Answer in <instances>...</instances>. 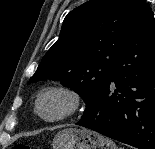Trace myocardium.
<instances>
[{
    "label": "myocardium",
    "instance_id": "obj_1",
    "mask_svg": "<svg viewBox=\"0 0 155 149\" xmlns=\"http://www.w3.org/2000/svg\"><path fill=\"white\" fill-rule=\"evenodd\" d=\"M49 95L62 96L66 101L65 110L55 117H46L41 111V102L45 97ZM81 104V96L75 89L63 85H55L44 88L38 94L34 104V111L35 114L43 121L55 123L74 117L79 112Z\"/></svg>",
    "mask_w": 155,
    "mask_h": 149
}]
</instances>
